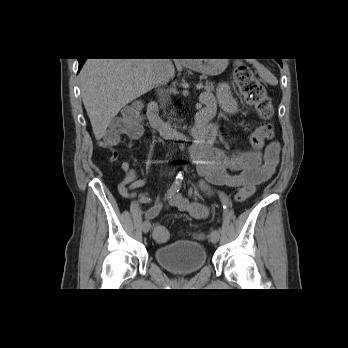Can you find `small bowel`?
Wrapping results in <instances>:
<instances>
[{
	"label": "small bowel",
	"instance_id": "small-bowel-1",
	"mask_svg": "<svg viewBox=\"0 0 348 348\" xmlns=\"http://www.w3.org/2000/svg\"><path fill=\"white\" fill-rule=\"evenodd\" d=\"M217 97L225 111L229 113L235 111L236 102L226 83H220L217 86ZM201 101L203 107H216V98L211 93H202ZM210 130L215 136L219 131L218 123H211ZM191 153L196 162L197 173L201 177L200 186L207 191L211 186L235 188L244 185L255 186L267 181L274 174L278 165L280 145L274 141L268 144L264 151H247L232 155L221 149L201 150L193 148ZM121 170L123 177L118 184L121 195L126 198H138L139 203H148V198L137 192V189L146 184V179L140 177L129 162H123ZM170 206L186 211L196 219L206 218L209 214L208 208L203 204L189 202L181 195L174 193L168 197V200L158 201L151 206L146 211L145 217L153 219L162 209Z\"/></svg>",
	"mask_w": 348,
	"mask_h": 348
}]
</instances>
